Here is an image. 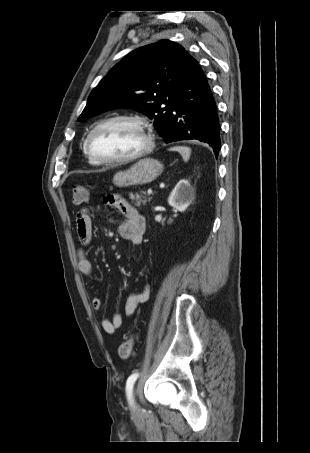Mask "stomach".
I'll return each mask as SVG.
<instances>
[{
	"mask_svg": "<svg viewBox=\"0 0 310 453\" xmlns=\"http://www.w3.org/2000/svg\"><path fill=\"white\" fill-rule=\"evenodd\" d=\"M163 164L153 158L139 160L127 170L118 171L113 177V184L117 187H129L151 183L162 172Z\"/></svg>",
	"mask_w": 310,
	"mask_h": 453,
	"instance_id": "0dacf381",
	"label": "stomach"
}]
</instances>
